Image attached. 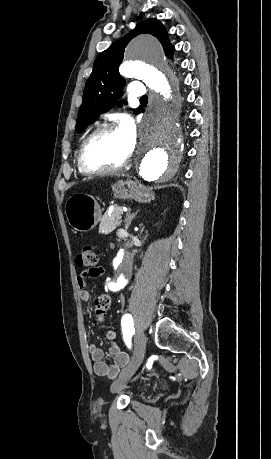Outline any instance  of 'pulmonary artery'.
<instances>
[{
  "mask_svg": "<svg viewBox=\"0 0 271 459\" xmlns=\"http://www.w3.org/2000/svg\"><path fill=\"white\" fill-rule=\"evenodd\" d=\"M128 87L132 89L130 91V96L132 98H145V89L143 88V83L141 81H134L128 84Z\"/></svg>",
  "mask_w": 271,
  "mask_h": 459,
  "instance_id": "obj_1",
  "label": "pulmonary artery"
}]
</instances>
